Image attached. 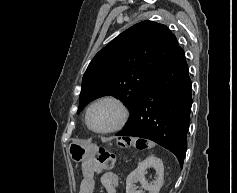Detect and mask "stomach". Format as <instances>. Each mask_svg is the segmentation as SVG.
Masks as SVG:
<instances>
[{
    "mask_svg": "<svg viewBox=\"0 0 237 193\" xmlns=\"http://www.w3.org/2000/svg\"><path fill=\"white\" fill-rule=\"evenodd\" d=\"M96 146L84 142H72L68 147V154L73 162H81L95 154Z\"/></svg>",
    "mask_w": 237,
    "mask_h": 193,
    "instance_id": "stomach-1",
    "label": "stomach"
}]
</instances>
